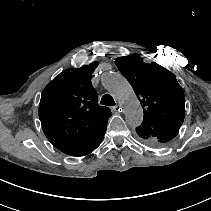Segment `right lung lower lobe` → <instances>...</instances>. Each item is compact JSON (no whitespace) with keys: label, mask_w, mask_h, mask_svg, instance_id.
<instances>
[{"label":"right lung lower lobe","mask_w":211,"mask_h":211,"mask_svg":"<svg viewBox=\"0 0 211 211\" xmlns=\"http://www.w3.org/2000/svg\"><path fill=\"white\" fill-rule=\"evenodd\" d=\"M107 127V126H106ZM106 127L100 134L89 138L80 139L76 142L61 146L59 149L61 152L71 156H84L93 152L102 142L103 136L106 131Z\"/></svg>","instance_id":"98d812e1"}]
</instances>
